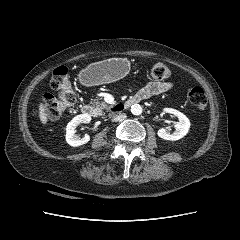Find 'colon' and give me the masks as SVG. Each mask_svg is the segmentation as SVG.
Masks as SVG:
<instances>
[{"label": "colon", "mask_w": 240, "mask_h": 240, "mask_svg": "<svg viewBox=\"0 0 240 240\" xmlns=\"http://www.w3.org/2000/svg\"><path fill=\"white\" fill-rule=\"evenodd\" d=\"M149 75L153 80H164L170 76V69L165 63L158 61L151 65ZM51 87L57 92V95H47L43 102L48 116L55 119L60 117L76 101L68 69L65 66L57 67L54 70L51 78ZM188 98L197 110L202 111L205 109L207 99L201 87L195 86L191 88Z\"/></svg>", "instance_id": "1"}]
</instances>
